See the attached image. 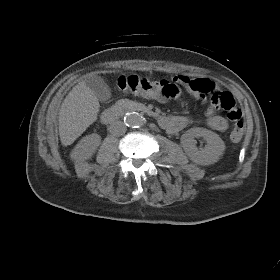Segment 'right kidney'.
<instances>
[{"label":"right kidney","mask_w":280,"mask_h":280,"mask_svg":"<svg viewBox=\"0 0 280 280\" xmlns=\"http://www.w3.org/2000/svg\"><path fill=\"white\" fill-rule=\"evenodd\" d=\"M100 142L101 137L98 134L93 133L82 138L74 150L83 158L88 159L96 152Z\"/></svg>","instance_id":"ca27d5eb"}]
</instances>
